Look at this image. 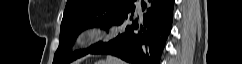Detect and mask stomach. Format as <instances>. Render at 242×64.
Instances as JSON below:
<instances>
[{
  "instance_id": "obj_1",
  "label": "stomach",
  "mask_w": 242,
  "mask_h": 64,
  "mask_svg": "<svg viewBox=\"0 0 242 64\" xmlns=\"http://www.w3.org/2000/svg\"><path fill=\"white\" fill-rule=\"evenodd\" d=\"M96 64H107L105 61H99Z\"/></svg>"
}]
</instances>
